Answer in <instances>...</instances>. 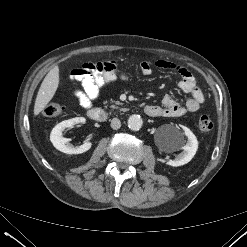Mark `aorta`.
Listing matches in <instances>:
<instances>
[{
    "instance_id": "aorta-1",
    "label": "aorta",
    "mask_w": 247,
    "mask_h": 247,
    "mask_svg": "<svg viewBox=\"0 0 247 247\" xmlns=\"http://www.w3.org/2000/svg\"><path fill=\"white\" fill-rule=\"evenodd\" d=\"M128 127L133 131H138L143 125V120L140 115H131L128 119Z\"/></svg>"
}]
</instances>
